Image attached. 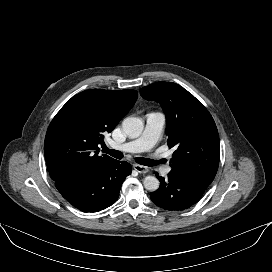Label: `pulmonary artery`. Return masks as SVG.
Here are the masks:
<instances>
[{
	"label": "pulmonary artery",
	"mask_w": 272,
	"mask_h": 272,
	"mask_svg": "<svg viewBox=\"0 0 272 272\" xmlns=\"http://www.w3.org/2000/svg\"><path fill=\"white\" fill-rule=\"evenodd\" d=\"M165 125V116L161 112H151L146 115V125L143 133L123 144H113V147L126 152H142L149 151L159 140ZM169 167L164 169L168 173Z\"/></svg>",
	"instance_id": "1"
}]
</instances>
